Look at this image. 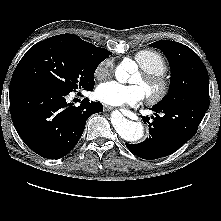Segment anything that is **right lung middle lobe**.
Returning <instances> with one entry per match:
<instances>
[{
	"label": "right lung middle lobe",
	"instance_id": "1",
	"mask_svg": "<svg viewBox=\"0 0 221 221\" xmlns=\"http://www.w3.org/2000/svg\"><path fill=\"white\" fill-rule=\"evenodd\" d=\"M79 45L60 36L45 39L26 52L12 78H23L69 94L94 88V72L101 62Z\"/></svg>",
	"mask_w": 221,
	"mask_h": 221
}]
</instances>
